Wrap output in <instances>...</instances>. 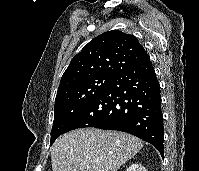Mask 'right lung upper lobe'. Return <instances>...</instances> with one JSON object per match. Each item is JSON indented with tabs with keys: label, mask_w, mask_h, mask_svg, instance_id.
Returning <instances> with one entry per match:
<instances>
[{
	"label": "right lung upper lobe",
	"mask_w": 199,
	"mask_h": 171,
	"mask_svg": "<svg viewBox=\"0 0 199 171\" xmlns=\"http://www.w3.org/2000/svg\"><path fill=\"white\" fill-rule=\"evenodd\" d=\"M147 58L149 56L135 36L118 30L103 33L73 57L61 78L56 98L90 78L116 76Z\"/></svg>",
	"instance_id": "1"
}]
</instances>
